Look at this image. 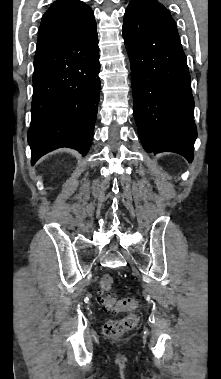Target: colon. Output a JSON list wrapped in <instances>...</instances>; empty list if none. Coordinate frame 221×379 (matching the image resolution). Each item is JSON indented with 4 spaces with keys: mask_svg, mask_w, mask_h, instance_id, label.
Returning <instances> with one entry per match:
<instances>
[{
    "mask_svg": "<svg viewBox=\"0 0 221 379\" xmlns=\"http://www.w3.org/2000/svg\"><path fill=\"white\" fill-rule=\"evenodd\" d=\"M113 285V278L111 275L106 274L101 278V303L105 309L116 314L118 312H129L125 317L118 320H110L105 323L103 332L106 337L116 338L120 337L126 332L132 330L137 324V316L132 311L137 305V301L133 298H126L117 300L109 294Z\"/></svg>",
    "mask_w": 221,
    "mask_h": 379,
    "instance_id": "obj_1",
    "label": "colon"
}]
</instances>
